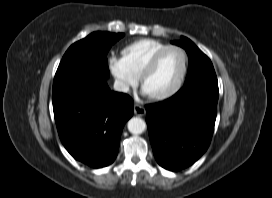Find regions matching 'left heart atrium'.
<instances>
[{
    "mask_svg": "<svg viewBox=\"0 0 272 198\" xmlns=\"http://www.w3.org/2000/svg\"><path fill=\"white\" fill-rule=\"evenodd\" d=\"M142 94L147 95V93L145 92V90L143 88H142Z\"/></svg>",
    "mask_w": 272,
    "mask_h": 198,
    "instance_id": "1",
    "label": "left heart atrium"
}]
</instances>
